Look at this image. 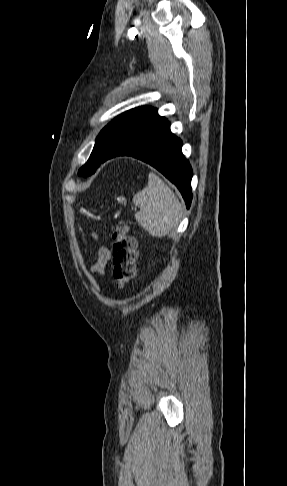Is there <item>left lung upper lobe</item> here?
I'll return each instance as SVG.
<instances>
[{
	"instance_id": "obj_1",
	"label": "left lung upper lobe",
	"mask_w": 287,
	"mask_h": 486,
	"mask_svg": "<svg viewBox=\"0 0 287 486\" xmlns=\"http://www.w3.org/2000/svg\"><path fill=\"white\" fill-rule=\"evenodd\" d=\"M167 119L157 109L143 106L117 116L97 136L90 158L78 175L87 177L106 160L138 149Z\"/></svg>"
}]
</instances>
